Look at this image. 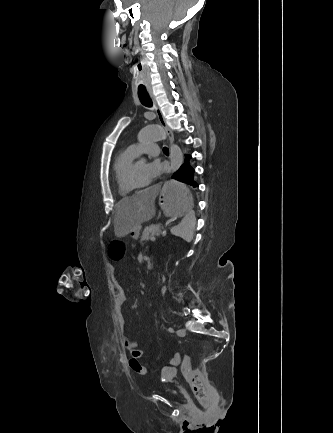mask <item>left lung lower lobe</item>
Listing matches in <instances>:
<instances>
[{"label": "left lung lower lobe", "instance_id": "1", "mask_svg": "<svg viewBox=\"0 0 333 433\" xmlns=\"http://www.w3.org/2000/svg\"><path fill=\"white\" fill-rule=\"evenodd\" d=\"M191 155H185L183 165L173 174L172 178L184 183L187 190L197 186L194 177V168L190 164Z\"/></svg>", "mask_w": 333, "mask_h": 433}]
</instances>
